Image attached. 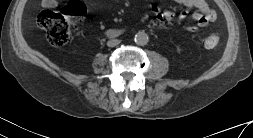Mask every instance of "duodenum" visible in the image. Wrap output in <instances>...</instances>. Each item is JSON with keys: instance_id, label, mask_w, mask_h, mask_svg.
Returning <instances> with one entry per match:
<instances>
[{"instance_id": "1", "label": "duodenum", "mask_w": 253, "mask_h": 138, "mask_svg": "<svg viewBox=\"0 0 253 138\" xmlns=\"http://www.w3.org/2000/svg\"><path fill=\"white\" fill-rule=\"evenodd\" d=\"M123 33L122 29H110L107 31V35L117 37Z\"/></svg>"}]
</instances>
